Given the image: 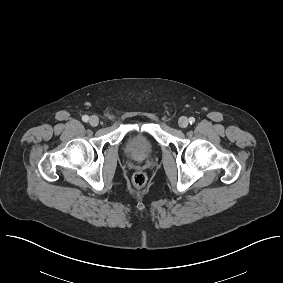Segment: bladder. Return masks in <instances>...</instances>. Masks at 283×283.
<instances>
[{"label": "bladder", "instance_id": "bladder-1", "mask_svg": "<svg viewBox=\"0 0 283 283\" xmlns=\"http://www.w3.org/2000/svg\"><path fill=\"white\" fill-rule=\"evenodd\" d=\"M125 152L133 158H144L152 153L151 143L141 134L130 135L125 144Z\"/></svg>", "mask_w": 283, "mask_h": 283}]
</instances>
